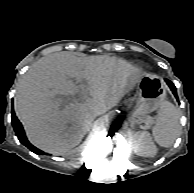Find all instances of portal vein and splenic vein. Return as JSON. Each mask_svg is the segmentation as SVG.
Segmentation results:
<instances>
[{
	"mask_svg": "<svg viewBox=\"0 0 194 193\" xmlns=\"http://www.w3.org/2000/svg\"><path fill=\"white\" fill-rule=\"evenodd\" d=\"M137 121V120H136ZM139 123H144V121H140Z\"/></svg>",
	"mask_w": 194,
	"mask_h": 193,
	"instance_id": "18ae733b",
	"label": "portal vein and splenic vein"
}]
</instances>
